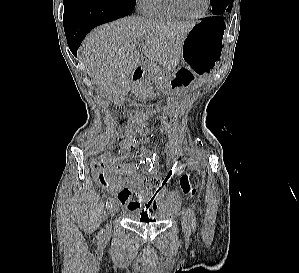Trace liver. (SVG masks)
I'll return each instance as SVG.
<instances>
[{"label":"liver","mask_w":299,"mask_h":273,"mask_svg":"<svg viewBox=\"0 0 299 273\" xmlns=\"http://www.w3.org/2000/svg\"><path fill=\"white\" fill-rule=\"evenodd\" d=\"M195 25L125 17L94 29L83 41L79 59L105 97L121 98L130 91L132 75L141 65L138 49L164 71H173Z\"/></svg>","instance_id":"1"}]
</instances>
